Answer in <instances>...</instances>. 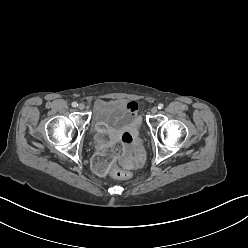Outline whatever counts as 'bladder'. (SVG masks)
<instances>
[{"mask_svg": "<svg viewBox=\"0 0 248 248\" xmlns=\"http://www.w3.org/2000/svg\"><path fill=\"white\" fill-rule=\"evenodd\" d=\"M137 119L128 102L121 99L98 100L93 105L91 133L95 138L106 129L110 134L120 133Z\"/></svg>", "mask_w": 248, "mask_h": 248, "instance_id": "1", "label": "bladder"}]
</instances>
